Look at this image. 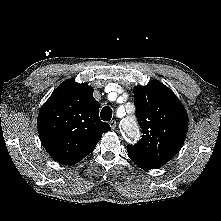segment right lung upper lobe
<instances>
[{
	"label": "right lung upper lobe",
	"mask_w": 221,
	"mask_h": 221,
	"mask_svg": "<svg viewBox=\"0 0 221 221\" xmlns=\"http://www.w3.org/2000/svg\"><path fill=\"white\" fill-rule=\"evenodd\" d=\"M38 133L51 155L61 164L74 165L90 154L110 126L99 118L93 88L74 80L63 82L39 112Z\"/></svg>",
	"instance_id": "1"
}]
</instances>
